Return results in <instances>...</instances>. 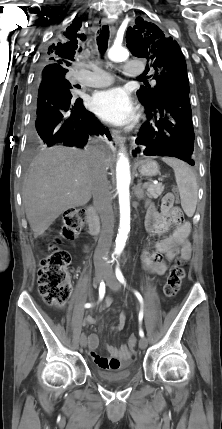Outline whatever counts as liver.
<instances>
[{"label": "liver", "mask_w": 222, "mask_h": 429, "mask_svg": "<svg viewBox=\"0 0 222 429\" xmlns=\"http://www.w3.org/2000/svg\"><path fill=\"white\" fill-rule=\"evenodd\" d=\"M106 169L109 160L101 152ZM94 159L87 151L52 147L31 162L24 178L22 200L35 237L65 211L84 206L92 195Z\"/></svg>", "instance_id": "liver-1"}]
</instances>
